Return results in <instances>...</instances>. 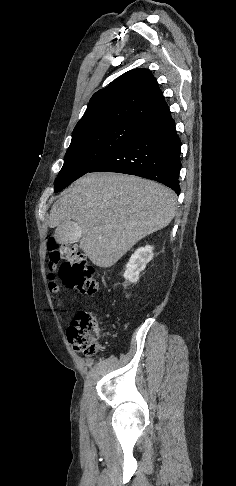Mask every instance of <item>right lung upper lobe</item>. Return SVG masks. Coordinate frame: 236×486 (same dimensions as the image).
<instances>
[{
  "label": "right lung upper lobe",
  "instance_id": "right-lung-upper-lobe-1",
  "mask_svg": "<svg viewBox=\"0 0 236 486\" xmlns=\"http://www.w3.org/2000/svg\"><path fill=\"white\" fill-rule=\"evenodd\" d=\"M168 106L155 77L148 69H134L91 97L72 135L120 123L139 124Z\"/></svg>",
  "mask_w": 236,
  "mask_h": 486
}]
</instances>
